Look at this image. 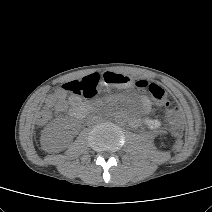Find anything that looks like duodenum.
I'll use <instances>...</instances> for the list:
<instances>
[{
  "instance_id": "410a0bca",
  "label": "duodenum",
  "mask_w": 212,
  "mask_h": 212,
  "mask_svg": "<svg viewBox=\"0 0 212 212\" xmlns=\"http://www.w3.org/2000/svg\"><path fill=\"white\" fill-rule=\"evenodd\" d=\"M92 109H93V106L91 104L80 103L72 107L71 115L74 119L80 120Z\"/></svg>"
}]
</instances>
